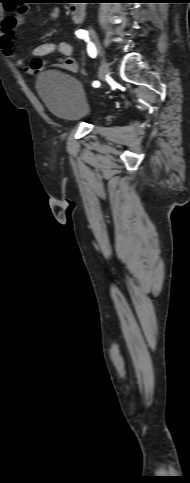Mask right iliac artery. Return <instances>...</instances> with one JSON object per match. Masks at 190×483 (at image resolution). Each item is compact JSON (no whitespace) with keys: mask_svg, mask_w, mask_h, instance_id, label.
<instances>
[{"mask_svg":"<svg viewBox=\"0 0 190 483\" xmlns=\"http://www.w3.org/2000/svg\"><path fill=\"white\" fill-rule=\"evenodd\" d=\"M76 35H77L78 38L84 39L86 42H88V45H87L88 54H89L90 57L95 58L97 51H96L94 44L89 40L88 32L86 30L80 29V30L76 31ZM92 85H93V87H99L100 82L94 81Z\"/></svg>","mask_w":190,"mask_h":483,"instance_id":"obj_1","label":"right iliac artery"}]
</instances>
